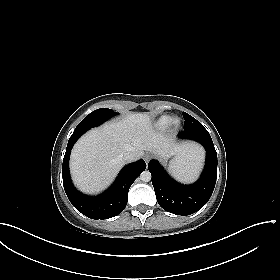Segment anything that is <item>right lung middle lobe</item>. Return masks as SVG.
<instances>
[{"label":"right lung middle lobe","instance_id":"1","mask_svg":"<svg viewBox=\"0 0 280 280\" xmlns=\"http://www.w3.org/2000/svg\"><path fill=\"white\" fill-rule=\"evenodd\" d=\"M115 114L117 113H114L112 109L108 108L95 110L83 119V121L76 127L74 132L81 130L86 131L91 127L98 126Z\"/></svg>","mask_w":280,"mask_h":280}]
</instances>
